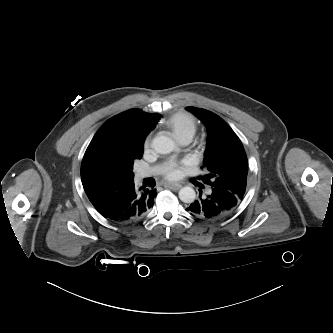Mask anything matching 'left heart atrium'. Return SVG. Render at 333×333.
<instances>
[{
  "instance_id": "39dd6f15",
  "label": "left heart atrium",
  "mask_w": 333,
  "mask_h": 333,
  "mask_svg": "<svg viewBox=\"0 0 333 333\" xmlns=\"http://www.w3.org/2000/svg\"><path fill=\"white\" fill-rule=\"evenodd\" d=\"M164 175L169 180L178 179L182 175V166L175 163H169L164 170Z\"/></svg>"
}]
</instances>
